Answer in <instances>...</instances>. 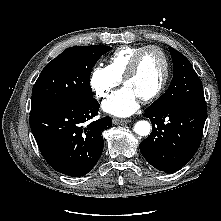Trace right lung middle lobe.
<instances>
[{
    "label": "right lung middle lobe",
    "mask_w": 221,
    "mask_h": 221,
    "mask_svg": "<svg viewBox=\"0 0 221 221\" xmlns=\"http://www.w3.org/2000/svg\"><path fill=\"white\" fill-rule=\"evenodd\" d=\"M112 48L76 46L49 62L32 90L31 108L49 103L84 102L93 99L89 78L98 59Z\"/></svg>",
    "instance_id": "obj_1"
}]
</instances>
